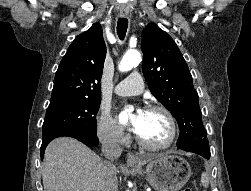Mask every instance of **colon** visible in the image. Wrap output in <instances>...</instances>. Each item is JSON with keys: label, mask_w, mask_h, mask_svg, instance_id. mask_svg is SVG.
<instances>
[{"label": "colon", "mask_w": 251, "mask_h": 191, "mask_svg": "<svg viewBox=\"0 0 251 191\" xmlns=\"http://www.w3.org/2000/svg\"><path fill=\"white\" fill-rule=\"evenodd\" d=\"M183 191H193V189L190 188V187H186V188L183 189Z\"/></svg>", "instance_id": "5ec220e1"}]
</instances>
